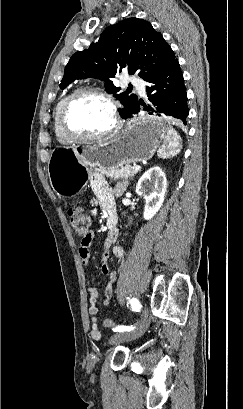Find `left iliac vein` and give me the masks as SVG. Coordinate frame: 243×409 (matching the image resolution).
Masks as SVG:
<instances>
[{"instance_id":"4c4485c4","label":"left iliac vein","mask_w":243,"mask_h":409,"mask_svg":"<svg viewBox=\"0 0 243 409\" xmlns=\"http://www.w3.org/2000/svg\"><path fill=\"white\" fill-rule=\"evenodd\" d=\"M149 324H150L149 311L148 309H144L142 313V320L140 324L134 330L128 331V332H119V333L114 334L111 337L109 343L111 345H116L121 342L135 340L141 337L145 333Z\"/></svg>"}]
</instances>
